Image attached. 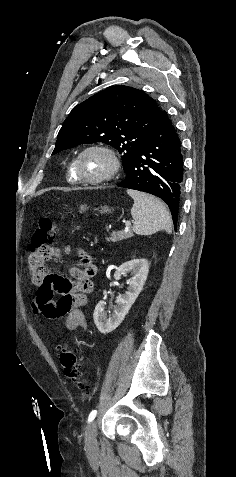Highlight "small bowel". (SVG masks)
Instances as JSON below:
<instances>
[{"mask_svg":"<svg viewBox=\"0 0 236 477\" xmlns=\"http://www.w3.org/2000/svg\"><path fill=\"white\" fill-rule=\"evenodd\" d=\"M71 251V247L66 246L54 254L68 255ZM45 261L41 278L37 281L33 280L38 285L32 302L33 311L48 320L66 317L64 328L67 331L86 329L87 321L80 308L88 304V294L94 287L92 278L95 274V266L90 257L85 252H78L77 265L69 269L73 280L46 272ZM56 294L59 295L58 298H55Z\"/></svg>","mask_w":236,"mask_h":477,"instance_id":"obj_1","label":"small bowel"}]
</instances>
